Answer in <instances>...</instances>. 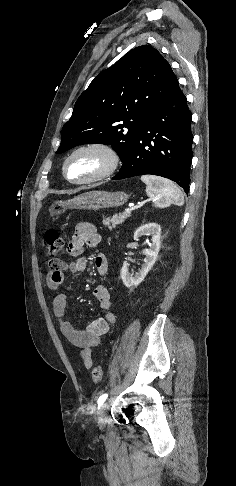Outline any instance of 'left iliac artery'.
<instances>
[{
    "label": "left iliac artery",
    "mask_w": 236,
    "mask_h": 486,
    "mask_svg": "<svg viewBox=\"0 0 236 486\" xmlns=\"http://www.w3.org/2000/svg\"><path fill=\"white\" fill-rule=\"evenodd\" d=\"M107 397H108V394L101 395L98 399V405H102L106 401Z\"/></svg>",
    "instance_id": "1"
}]
</instances>
